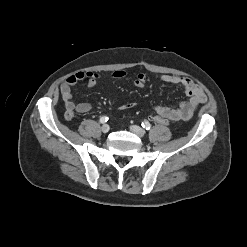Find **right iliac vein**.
<instances>
[{
	"instance_id": "obj_1",
	"label": "right iliac vein",
	"mask_w": 247,
	"mask_h": 247,
	"mask_svg": "<svg viewBox=\"0 0 247 247\" xmlns=\"http://www.w3.org/2000/svg\"><path fill=\"white\" fill-rule=\"evenodd\" d=\"M109 129H110L109 125H107V124H104L101 127V130H102L103 133H107L109 131Z\"/></svg>"
}]
</instances>
